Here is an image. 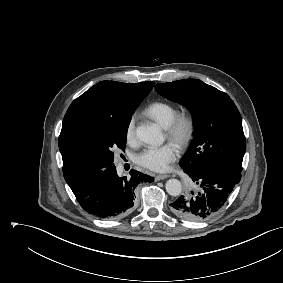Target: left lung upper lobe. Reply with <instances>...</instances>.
I'll return each instance as SVG.
<instances>
[{
  "mask_svg": "<svg viewBox=\"0 0 283 283\" xmlns=\"http://www.w3.org/2000/svg\"><path fill=\"white\" fill-rule=\"evenodd\" d=\"M155 89L193 116L194 140L179 163L183 169L223 167L241 173L246 149L242 119L226 93L197 79L160 83Z\"/></svg>",
  "mask_w": 283,
  "mask_h": 283,
  "instance_id": "1",
  "label": "left lung upper lobe"
}]
</instances>
